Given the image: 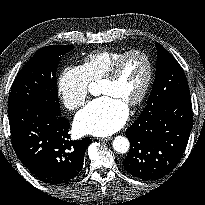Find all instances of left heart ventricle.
Segmentation results:
<instances>
[{
	"mask_svg": "<svg viewBox=\"0 0 205 205\" xmlns=\"http://www.w3.org/2000/svg\"><path fill=\"white\" fill-rule=\"evenodd\" d=\"M147 70L143 57L134 55L127 58L114 81L100 83V94L113 96L127 105L142 90Z\"/></svg>",
	"mask_w": 205,
	"mask_h": 205,
	"instance_id": "1",
	"label": "left heart ventricle"
}]
</instances>
